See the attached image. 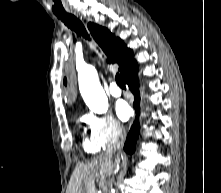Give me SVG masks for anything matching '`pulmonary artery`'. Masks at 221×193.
I'll return each mask as SVG.
<instances>
[{
    "label": "pulmonary artery",
    "instance_id": "obj_1",
    "mask_svg": "<svg viewBox=\"0 0 221 193\" xmlns=\"http://www.w3.org/2000/svg\"><path fill=\"white\" fill-rule=\"evenodd\" d=\"M109 92L112 96L118 97L121 95V89L117 86L115 82L109 85Z\"/></svg>",
    "mask_w": 221,
    "mask_h": 193
}]
</instances>
